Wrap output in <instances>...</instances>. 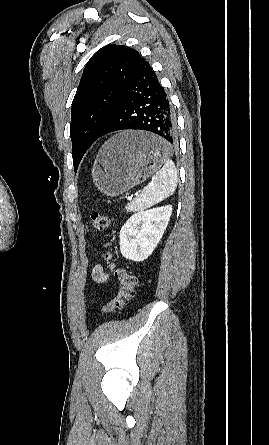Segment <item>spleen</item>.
Returning a JSON list of instances; mask_svg holds the SVG:
<instances>
[{"instance_id":"obj_1","label":"spleen","mask_w":269,"mask_h":445,"mask_svg":"<svg viewBox=\"0 0 269 445\" xmlns=\"http://www.w3.org/2000/svg\"><path fill=\"white\" fill-rule=\"evenodd\" d=\"M178 182L177 170L170 159H165L162 169L157 171L151 182L145 186L142 193L126 209L130 212L142 211L170 197Z\"/></svg>"}]
</instances>
